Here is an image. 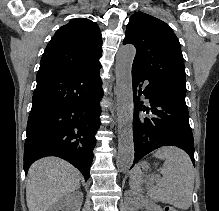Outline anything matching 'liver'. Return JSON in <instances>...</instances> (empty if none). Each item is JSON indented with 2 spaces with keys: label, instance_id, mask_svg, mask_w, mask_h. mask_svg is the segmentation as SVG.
Instances as JSON below:
<instances>
[{
  "label": "liver",
  "instance_id": "6515ba94",
  "mask_svg": "<svg viewBox=\"0 0 219 211\" xmlns=\"http://www.w3.org/2000/svg\"><path fill=\"white\" fill-rule=\"evenodd\" d=\"M80 171L61 157H42L29 167L26 201L29 211H48L63 195L80 187Z\"/></svg>",
  "mask_w": 219,
  "mask_h": 211
}]
</instances>
